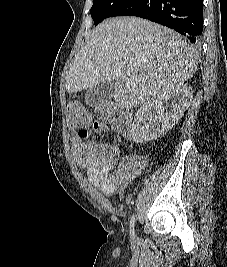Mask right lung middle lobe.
Listing matches in <instances>:
<instances>
[{
	"label": "right lung middle lobe",
	"instance_id": "1",
	"mask_svg": "<svg viewBox=\"0 0 227 267\" xmlns=\"http://www.w3.org/2000/svg\"><path fill=\"white\" fill-rule=\"evenodd\" d=\"M130 0H93L90 13L94 24L98 25L104 19L112 17Z\"/></svg>",
	"mask_w": 227,
	"mask_h": 267
}]
</instances>
